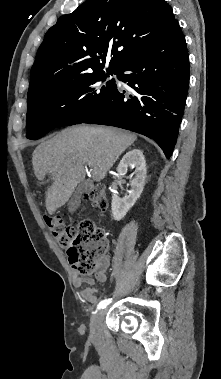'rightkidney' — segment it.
<instances>
[{"label": "right kidney", "instance_id": "obj_1", "mask_svg": "<svg viewBox=\"0 0 221 379\" xmlns=\"http://www.w3.org/2000/svg\"><path fill=\"white\" fill-rule=\"evenodd\" d=\"M128 167L135 168V177L130 181L131 190L129 195L122 199L116 194L112 195L111 211L116 221H120L125 217L143 192L147 169L145 157L141 150L133 149L127 152L120 161L117 172L120 175H125Z\"/></svg>", "mask_w": 221, "mask_h": 379}]
</instances>
